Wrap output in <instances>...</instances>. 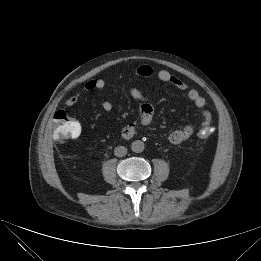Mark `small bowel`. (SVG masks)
Wrapping results in <instances>:
<instances>
[{
    "mask_svg": "<svg viewBox=\"0 0 261 261\" xmlns=\"http://www.w3.org/2000/svg\"><path fill=\"white\" fill-rule=\"evenodd\" d=\"M136 73L139 76L142 77H149L152 75V68L148 65H140L136 68ZM157 77L160 81L170 83L174 87H176L179 90H187V98L199 109H203L206 106V100L205 98L195 89H189L186 82H184L179 77L173 75L167 70H160L157 73ZM106 82L102 78H93L88 80L84 87L86 90H101L105 87ZM129 94L132 98L137 100L140 103V109H139V117H140V123L144 126L149 125L153 120L154 115V108L150 101V99L145 96L138 88L132 87L129 90ZM78 101V98L76 96L70 97L66 101V106L68 108L73 107ZM113 108V105L109 101H105L102 103V109L105 112H110ZM211 123V114L204 110L202 112V121L201 126L205 124ZM79 124V123H78ZM80 127V124H79ZM81 130V127H80ZM194 133V125L192 123L187 124L181 129H177L172 131L169 136L168 140L172 144H180L187 139H189L192 134ZM136 134V125L131 123L123 127L121 131V135L125 139H130Z\"/></svg>",
    "mask_w": 261,
    "mask_h": 261,
    "instance_id": "small-bowel-1",
    "label": "small bowel"
}]
</instances>
